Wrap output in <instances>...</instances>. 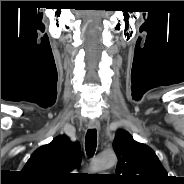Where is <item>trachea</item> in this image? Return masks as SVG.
Segmentation results:
<instances>
[{
	"label": "trachea",
	"mask_w": 184,
	"mask_h": 184,
	"mask_svg": "<svg viewBox=\"0 0 184 184\" xmlns=\"http://www.w3.org/2000/svg\"><path fill=\"white\" fill-rule=\"evenodd\" d=\"M97 146V131L96 129H89L85 137V148L87 155L92 157Z\"/></svg>",
	"instance_id": "3493384b"
}]
</instances>
